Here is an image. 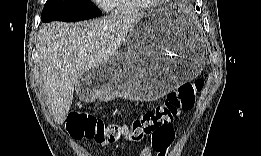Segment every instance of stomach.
<instances>
[{"mask_svg":"<svg viewBox=\"0 0 261 156\" xmlns=\"http://www.w3.org/2000/svg\"><path fill=\"white\" fill-rule=\"evenodd\" d=\"M126 42V53H116L79 79L89 86L92 99L153 101L194 79L205 64V45L182 7L141 15Z\"/></svg>","mask_w":261,"mask_h":156,"instance_id":"1","label":"stomach"}]
</instances>
